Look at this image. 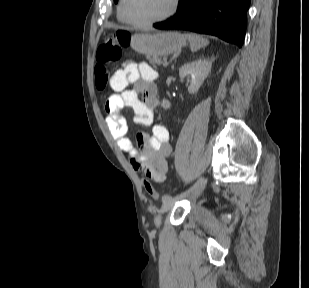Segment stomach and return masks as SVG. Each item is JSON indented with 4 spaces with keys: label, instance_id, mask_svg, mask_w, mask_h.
<instances>
[{
    "label": "stomach",
    "instance_id": "stomach-1",
    "mask_svg": "<svg viewBox=\"0 0 309 288\" xmlns=\"http://www.w3.org/2000/svg\"><path fill=\"white\" fill-rule=\"evenodd\" d=\"M186 45V38L178 32L137 33L131 36V47L148 57L171 54Z\"/></svg>",
    "mask_w": 309,
    "mask_h": 288
}]
</instances>
